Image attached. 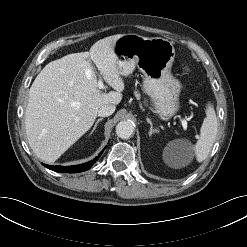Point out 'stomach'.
I'll return each mask as SVG.
<instances>
[{
	"instance_id": "obj_1",
	"label": "stomach",
	"mask_w": 247,
	"mask_h": 247,
	"mask_svg": "<svg viewBox=\"0 0 247 247\" xmlns=\"http://www.w3.org/2000/svg\"><path fill=\"white\" fill-rule=\"evenodd\" d=\"M117 67L122 76L137 67L144 74L143 90L164 117H172L180 108L181 82L171 73L175 58L173 43L161 37L147 38L124 34L114 45Z\"/></svg>"
}]
</instances>
